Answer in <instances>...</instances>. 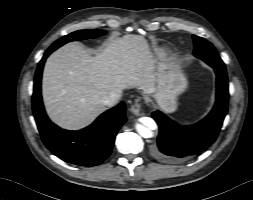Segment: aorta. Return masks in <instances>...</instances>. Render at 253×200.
Here are the masks:
<instances>
[{"mask_svg":"<svg viewBox=\"0 0 253 200\" xmlns=\"http://www.w3.org/2000/svg\"><path fill=\"white\" fill-rule=\"evenodd\" d=\"M145 122H146L145 125L137 124L136 130L140 136H142L144 138H151L153 136L152 127H155L156 124H155L154 120H152L151 118H145ZM147 126H149V127H147Z\"/></svg>","mask_w":253,"mask_h":200,"instance_id":"obj_1","label":"aorta"}]
</instances>
